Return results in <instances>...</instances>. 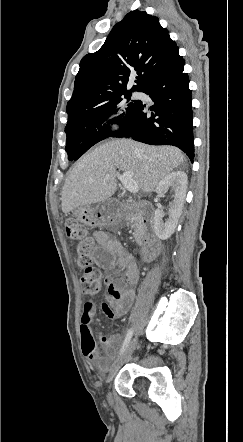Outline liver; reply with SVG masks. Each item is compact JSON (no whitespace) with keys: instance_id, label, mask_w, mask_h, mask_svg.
Wrapping results in <instances>:
<instances>
[{"instance_id":"obj_1","label":"liver","mask_w":243,"mask_h":442,"mask_svg":"<svg viewBox=\"0 0 243 442\" xmlns=\"http://www.w3.org/2000/svg\"><path fill=\"white\" fill-rule=\"evenodd\" d=\"M185 161L176 147L151 146L130 139L105 142L72 168L62 190V211L104 202L117 189L116 168L133 173L138 188L150 193Z\"/></svg>"}]
</instances>
